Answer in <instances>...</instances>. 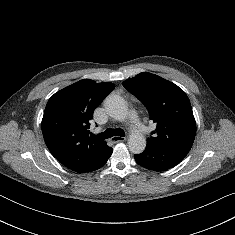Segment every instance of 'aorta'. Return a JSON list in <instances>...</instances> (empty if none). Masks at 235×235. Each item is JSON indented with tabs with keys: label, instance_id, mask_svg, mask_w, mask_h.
Wrapping results in <instances>:
<instances>
[{
	"label": "aorta",
	"instance_id": "762f6f07",
	"mask_svg": "<svg viewBox=\"0 0 235 235\" xmlns=\"http://www.w3.org/2000/svg\"><path fill=\"white\" fill-rule=\"evenodd\" d=\"M104 107L110 117L125 121L128 117V108L122 97L111 94L104 101ZM146 139L138 131H132L128 138V148L134 154H140L145 150Z\"/></svg>",
	"mask_w": 235,
	"mask_h": 235
}]
</instances>
